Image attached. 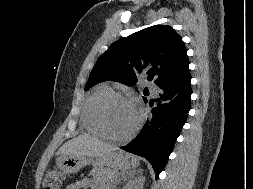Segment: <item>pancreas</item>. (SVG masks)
Wrapping results in <instances>:
<instances>
[{
    "instance_id": "obj_1",
    "label": "pancreas",
    "mask_w": 253,
    "mask_h": 189,
    "mask_svg": "<svg viewBox=\"0 0 253 189\" xmlns=\"http://www.w3.org/2000/svg\"><path fill=\"white\" fill-rule=\"evenodd\" d=\"M91 175L99 179L102 184L111 186L117 177V172L112 169L103 168L102 166H95L91 171Z\"/></svg>"
}]
</instances>
